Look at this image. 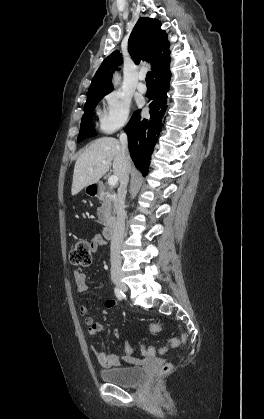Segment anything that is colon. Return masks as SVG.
Instances as JSON below:
<instances>
[{
	"instance_id": "5ec220e1",
	"label": "colon",
	"mask_w": 264,
	"mask_h": 419,
	"mask_svg": "<svg viewBox=\"0 0 264 419\" xmlns=\"http://www.w3.org/2000/svg\"><path fill=\"white\" fill-rule=\"evenodd\" d=\"M70 262L73 265L87 267L92 262V248L90 243L85 239H79L74 247L70 251ZM154 333H157L156 323L152 324ZM170 347L175 348L180 345V340L172 338L170 341ZM172 369V364L167 363L162 366L161 373L166 374Z\"/></svg>"
}]
</instances>
